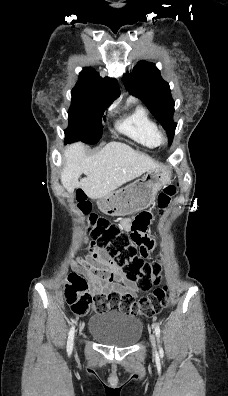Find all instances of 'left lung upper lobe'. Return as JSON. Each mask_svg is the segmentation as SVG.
<instances>
[{
  "label": "left lung upper lobe",
  "mask_w": 228,
  "mask_h": 396,
  "mask_svg": "<svg viewBox=\"0 0 228 396\" xmlns=\"http://www.w3.org/2000/svg\"><path fill=\"white\" fill-rule=\"evenodd\" d=\"M126 89L139 97L167 130L169 143H172L176 123L173 122L174 101L169 84L165 82L155 64L140 61L132 73L123 77Z\"/></svg>",
  "instance_id": "1"
}]
</instances>
